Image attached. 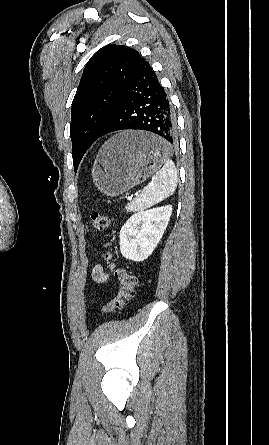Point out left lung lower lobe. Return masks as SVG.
<instances>
[{"label":"left lung lower lobe","instance_id":"1","mask_svg":"<svg viewBox=\"0 0 269 445\" xmlns=\"http://www.w3.org/2000/svg\"><path fill=\"white\" fill-rule=\"evenodd\" d=\"M124 129L150 131L159 135L169 146L176 143V122L169 98L143 58L130 76L98 138Z\"/></svg>","mask_w":269,"mask_h":445}]
</instances>
